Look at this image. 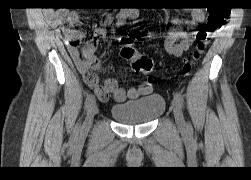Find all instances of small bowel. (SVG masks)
I'll use <instances>...</instances> for the list:
<instances>
[{"label": "small bowel", "mask_w": 251, "mask_h": 180, "mask_svg": "<svg viewBox=\"0 0 251 180\" xmlns=\"http://www.w3.org/2000/svg\"><path fill=\"white\" fill-rule=\"evenodd\" d=\"M51 15L55 25L59 26L64 34L67 49L78 70L83 75L86 84L94 91L100 101H107L112 97L116 102L122 103L127 99H137L152 93L153 88L149 82H144L136 88L129 89L120 87L115 78H107L101 84L97 71L103 67L96 57V49L99 40L106 34V30L102 27L98 28L95 36L85 43L81 55L79 47L84 39V34L77 29L81 16L77 12L68 10H58ZM138 15L139 11L136 8L128 7L122 9L116 16V25L121 26L128 20H135L138 18ZM204 18L203 10L195 8L192 10L189 20L175 18L173 24L196 26L201 24ZM65 22L68 23V26L64 25ZM191 43L192 39L187 31L173 28L166 34L164 48L169 55L181 57L190 48Z\"/></svg>", "instance_id": "1"}]
</instances>
